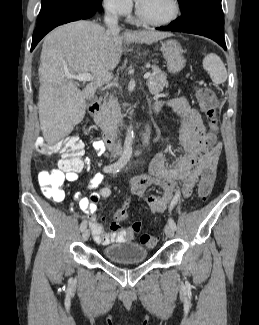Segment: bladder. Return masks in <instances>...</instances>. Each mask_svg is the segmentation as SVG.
Returning <instances> with one entry per match:
<instances>
[{
  "label": "bladder",
  "mask_w": 259,
  "mask_h": 325,
  "mask_svg": "<svg viewBox=\"0 0 259 325\" xmlns=\"http://www.w3.org/2000/svg\"><path fill=\"white\" fill-rule=\"evenodd\" d=\"M103 255L113 263L131 264L145 261L148 257V251L137 242L126 241L105 246Z\"/></svg>",
  "instance_id": "1"
}]
</instances>
